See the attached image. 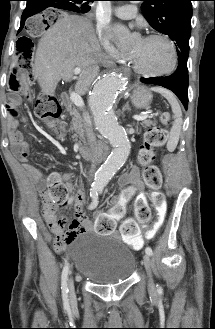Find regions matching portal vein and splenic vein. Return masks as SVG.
Instances as JSON below:
<instances>
[{"instance_id": "1", "label": "portal vein and splenic vein", "mask_w": 215, "mask_h": 329, "mask_svg": "<svg viewBox=\"0 0 215 329\" xmlns=\"http://www.w3.org/2000/svg\"><path fill=\"white\" fill-rule=\"evenodd\" d=\"M81 71H82V69L80 67H76L73 72H74V74H79V73H81ZM70 99L77 107L82 108L84 106L83 99L81 98V96L78 93L72 91L70 93ZM148 117H149V115H134L133 116V118L137 121L146 120Z\"/></svg>"}]
</instances>
